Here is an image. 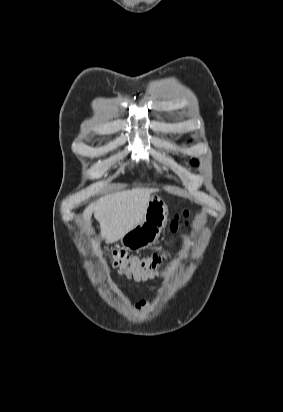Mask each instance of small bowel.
Segmentation results:
<instances>
[{"label":"small bowel","mask_w":283,"mask_h":412,"mask_svg":"<svg viewBox=\"0 0 283 412\" xmlns=\"http://www.w3.org/2000/svg\"><path fill=\"white\" fill-rule=\"evenodd\" d=\"M150 305L149 301L147 300H140L136 305V311L140 312L141 310L147 308Z\"/></svg>","instance_id":"c3829d8e"}]
</instances>
